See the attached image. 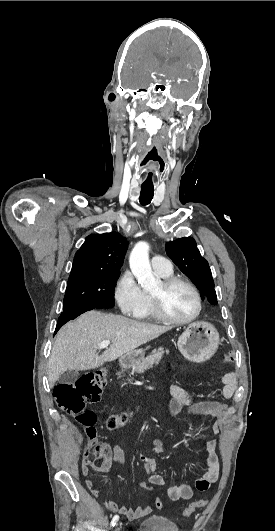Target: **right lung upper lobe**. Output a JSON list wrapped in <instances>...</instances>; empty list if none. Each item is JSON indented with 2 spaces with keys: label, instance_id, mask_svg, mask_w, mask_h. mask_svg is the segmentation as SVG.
Wrapping results in <instances>:
<instances>
[{
  "label": "right lung upper lobe",
  "instance_id": "right-lung-upper-lobe-1",
  "mask_svg": "<svg viewBox=\"0 0 275 531\" xmlns=\"http://www.w3.org/2000/svg\"><path fill=\"white\" fill-rule=\"evenodd\" d=\"M128 242L118 232L91 234L76 252L70 275L120 273Z\"/></svg>",
  "mask_w": 275,
  "mask_h": 531
}]
</instances>
